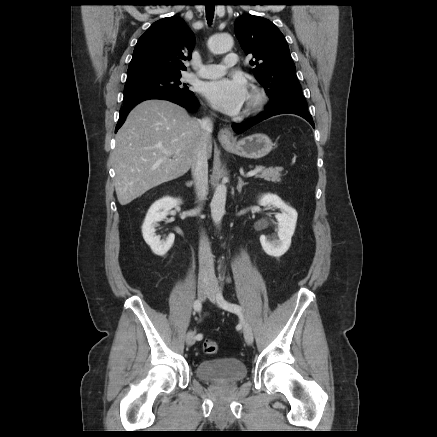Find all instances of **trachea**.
<instances>
[{
  "label": "trachea",
  "mask_w": 437,
  "mask_h": 437,
  "mask_svg": "<svg viewBox=\"0 0 437 437\" xmlns=\"http://www.w3.org/2000/svg\"><path fill=\"white\" fill-rule=\"evenodd\" d=\"M214 5H206V19L209 25L212 24L214 18Z\"/></svg>",
  "instance_id": "trachea-1"
}]
</instances>
